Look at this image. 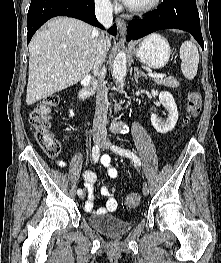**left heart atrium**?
I'll return each instance as SVG.
<instances>
[{
	"label": "left heart atrium",
	"instance_id": "obj_1",
	"mask_svg": "<svg viewBox=\"0 0 221 263\" xmlns=\"http://www.w3.org/2000/svg\"><path fill=\"white\" fill-rule=\"evenodd\" d=\"M123 3H125L126 5H130L132 3L133 0H120Z\"/></svg>",
	"mask_w": 221,
	"mask_h": 263
}]
</instances>
